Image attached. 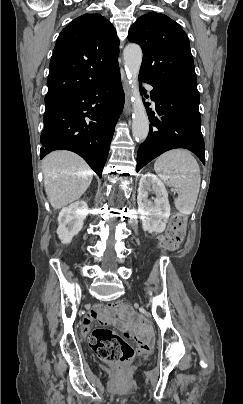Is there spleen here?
<instances>
[{"label":"spleen","mask_w":243,"mask_h":404,"mask_svg":"<svg viewBox=\"0 0 243 404\" xmlns=\"http://www.w3.org/2000/svg\"><path fill=\"white\" fill-rule=\"evenodd\" d=\"M154 170L166 186L178 190L174 206L182 216L192 214L201 184L200 168L188 150H170L159 156Z\"/></svg>","instance_id":"3e777b00"}]
</instances>
